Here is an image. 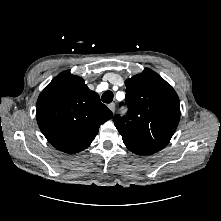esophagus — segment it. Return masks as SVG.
Returning <instances> with one entry per match:
<instances>
[{
    "label": "esophagus",
    "mask_w": 221,
    "mask_h": 221,
    "mask_svg": "<svg viewBox=\"0 0 221 221\" xmlns=\"http://www.w3.org/2000/svg\"><path fill=\"white\" fill-rule=\"evenodd\" d=\"M108 108H109L112 112H114V111H115V103H110V104H108Z\"/></svg>",
    "instance_id": "obj_1"
}]
</instances>
